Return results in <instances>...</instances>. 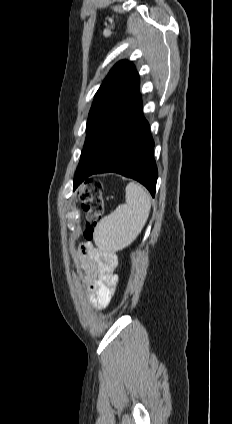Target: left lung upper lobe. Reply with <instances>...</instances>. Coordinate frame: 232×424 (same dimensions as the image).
Masks as SVG:
<instances>
[{
  "instance_id": "1",
  "label": "left lung upper lobe",
  "mask_w": 232,
  "mask_h": 424,
  "mask_svg": "<svg viewBox=\"0 0 232 424\" xmlns=\"http://www.w3.org/2000/svg\"><path fill=\"white\" fill-rule=\"evenodd\" d=\"M139 91V77L128 61L118 62L95 95L86 127V140L81 152L78 172L83 167L88 150L104 127L132 100Z\"/></svg>"
}]
</instances>
